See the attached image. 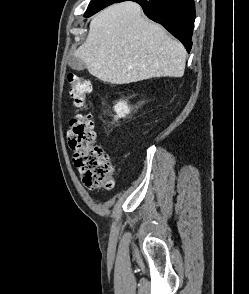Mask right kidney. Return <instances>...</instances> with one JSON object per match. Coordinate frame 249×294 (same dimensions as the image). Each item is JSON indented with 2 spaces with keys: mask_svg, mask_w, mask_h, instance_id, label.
<instances>
[{
  "mask_svg": "<svg viewBox=\"0 0 249 294\" xmlns=\"http://www.w3.org/2000/svg\"><path fill=\"white\" fill-rule=\"evenodd\" d=\"M114 111L117 113L115 117V119L117 120L118 118L125 117L127 114H129L130 108L128 107L127 102L119 101L114 106Z\"/></svg>",
  "mask_w": 249,
  "mask_h": 294,
  "instance_id": "right-kidney-1",
  "label": "right kidney"
}]
</instances>
